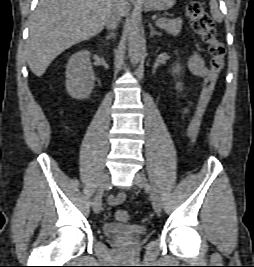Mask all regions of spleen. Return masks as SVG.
<instances>
[{
    "mask_svg": "<svg viewBox=\"0 0 254 267\" xmlns=\"http://www.w3.org/2000/svg\"><path fill=\"white\" fill-rule=\"evenodd\" d=\"M209 5H210V12H211L213 18L217 22H221L223 16H222V14L219 11L217 1L216 0H211L210 3H209Z\"/></svg>",
    "mask_w": 254,
    "mask_h": 267,
    "instance_id": "1",
    "label": "spleen"
}]
</instances>
